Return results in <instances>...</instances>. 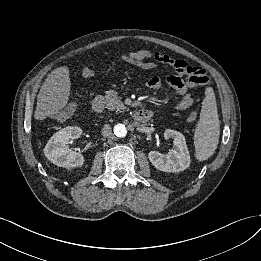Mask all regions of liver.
Masks as SVG:
<instances>
[{"mask_svg": "<svg viewBox=\"0 0 261 261\" xmlns=\"http://www.w3.org/2000/svg\"><path fill=\"white\" fill-rule=\"evenodd\" d=\"M70 89L69 68L62 66L54 69L39 91L34 118L44 120L64 108L69 100Z\"/></svg>", "mask_w": 261, "mask_h": 261, "instance_id": "6515ba94", "label": "liver"}]
</instances>
